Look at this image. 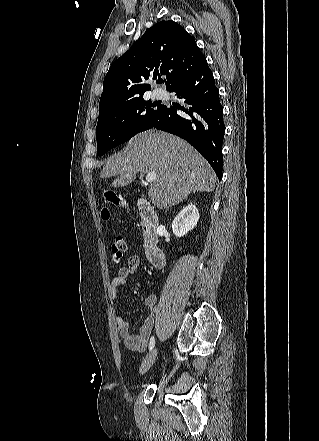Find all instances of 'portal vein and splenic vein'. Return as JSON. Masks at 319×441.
Here are the masks:
<instances>
[{
  "label": "portal vein and splenic vein",
  "instance_id": "portal-vein-and-splenic-vein-1",
  "mask_svg": "<svg viewBox=\"0 0 319 441\" xmlns=\"http://www.w3.org/2000/svg\"><path fill=\"white\" fill-rule=\"evenodd\" d=\"M156 178H157V174H156V172H154V171H152V172H148V173L146 174V181H147V182H153V181L156 180Z\"/></svg>",
  "mask_w": 319,
  "mask_h": 441
}]
</instances>
